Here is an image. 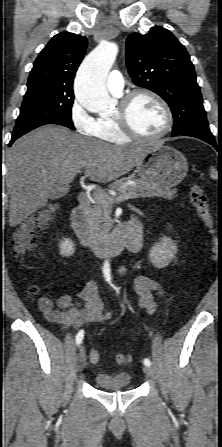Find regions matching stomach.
I'll return each instance as SVG.
<instances>
[{
  "label": "stomach",
  "mask_w": 222,
  "mask_h": 447,
  "mask_svg": "<svg viewBox=\"0 0 222 447\" xmlns=\"http://www.w3.org/2000/svg\"><path fill=\"white\" fill-rule=\"evenodd\" d=\"M136 170L143 181L162 188H171L185 178L188 163L177 149L159 143L150 147L136 165Z\"/></svg>",
  "instance_id": "0dacf381"
}]
</instances>
